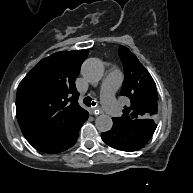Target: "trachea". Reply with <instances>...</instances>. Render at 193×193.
<instances>
[{"instance_id": "3493384b", "label": "trachea", "mask_w": 193, "mask_h": 193, "mask_svg": "<svg viewBox=\"0 0 193 193\" xmlns=\"http://www.w3.org/2000/svg\"><path fill=\"white\" fill-rule=\"evenodd\" d=\"M83 103H84L86 106H88V107H91V105H92V106H95V105H96V103L93 101V99L90 98V97H88V96L83 99Z\"/></svg>"}]
</instances>
